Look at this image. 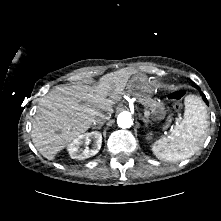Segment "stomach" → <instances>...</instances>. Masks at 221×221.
Returning a JSON list of instances; mask_svg holds the SVG:
<instances>
[{"instance_id":"0dacf381","label":"stomach","mask_w":221,"mask_h":221,"mask_svg":"<svg viewBox=\"0 0 221 221\" xmlns=\"http://www.w3.org/2000/svg\"><path fill=\"white\" fill-rule=\"evenodd\" d=\"M128 90L140 99H147L152 94L153 83L147 76L138 75L129 81Z\"/></svg>"}]
</instances>
